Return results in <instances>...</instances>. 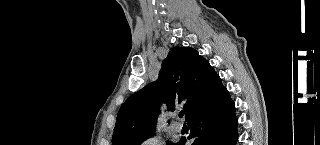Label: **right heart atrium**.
Masks as SVG:
<instances>
[{"label": "right heart atrium", "instance_id": "1", "mask_svg": "<svg viewBox=\"0 0 320 145\" xmlns=\"http://www.w3.org/2000/svg\"><path fill=\"white\" fill-rule=\"evenodd\" d=\"M162 143L161 140L154 136H150L142 140V145H160Z\"/></svg>", "mask_w": 320, "mask_h": 145}]
</instances>
